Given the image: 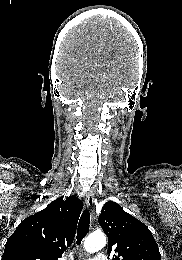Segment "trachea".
Instances as JSON below:
<instances>
[{
    "label": "trachea",
    "instance_id": "3493384b",
    "mask_svg": "<svg viewBox=\"0 0 182 260\" xmlns=\"http://www.w3.org/2000/svg\"><path fill=\"white\" fill-rule=\"evenodd\" d=\"M89 224H90V213L88 210H85L79 220L78 223V231H77V245H80L83 238L89 231Z\"/></svg>",
    "mask_w": 182,
    "mask_h": 260
}]
</instances>
